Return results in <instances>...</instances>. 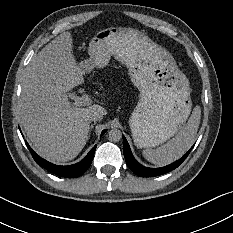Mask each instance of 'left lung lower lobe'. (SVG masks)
Wrapping results in <instances>:
<instances>
[{"mask_svg": "<svg viewBox=\"0 0 233 233\" xmlns=\"http://www.w3.org/2000/svg\"><path fill=\"white\" fill-rule=\"evenodd\" d=\"M193 147L181 159L173 162L170 165L161 168H148L140 165L132 155L129 144L125 137H123V153L128 167L137 175L141 177H153L165 174L177 168L189 155Z\"/></svg>", "mask_w": 233, "mask_h": 233, "instance_id": "left-lung-lower-lobe-1", "label": "left lung lower lobe"}]
</instances>
